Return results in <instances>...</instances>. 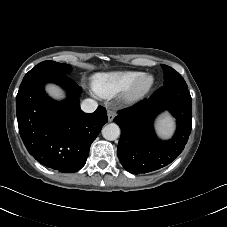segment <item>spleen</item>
<instances>
[{"label": "spleen", "instance_id": "3e777b00", "mask_svg": "<svg viewBox=\"0 0 227 227\" xmlns=\"http://www.w3.org/2000/svg\"><path fill=\"white\" fill-rule=\"evenodd\" d=\"M156 129L161 137L168 138L174 130L173 119L168 114L163 115L157 121Z\"/></svg>", "mask_w": 227, "mask_h": 227}]
</instances>
